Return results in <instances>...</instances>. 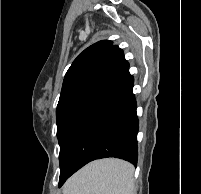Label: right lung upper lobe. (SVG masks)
I'll use <instances>...</instances> for the list:
<instances>
[{"label": "right lung upper lobe", "instance_id": "1", "mask_svg": "<svg viewBox=\"0 0 201 194\" xmlns=\"http://www.w3.org/2000/svg\"><path fill=\"white\" fill-rule=\"evenodd\" d=\"M129 75L123 51L112 41H99L79 54L68 69L58 106L80 98L94 99Z\"/></svg>", "mask_w": 201, "mask_h": 194}]
</instances>
